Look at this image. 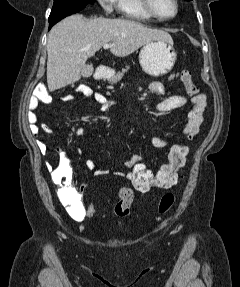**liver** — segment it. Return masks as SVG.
<instances>
[{"instance_id":"6515ba94","label":"liver","mask_w":240,"mask_h":287,"mask_svg":"<svg viewBox=\"0 0 240 287\" xmlns=\"http://www.w3.org/2000/svg\"><path fill=\"white\" fill-rule=\"evenodd\" d=\"M154 40L172 41L169 33L129 19L90 20L72 15L54 26L47 41V84L50 92L77 82L89 57L104 44L118 57Z\"/></svg>"}]
</instances>
